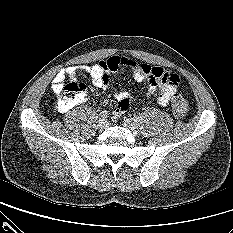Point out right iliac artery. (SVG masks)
<instances>
[{
    "instance_id": "obj_1",
    "label": "right iliac artery",
    "mask_w": 233,
    "mask_h": 233,
    "mask_svg": "<svg viewBox=\"0 0 233 233\" xmlns=\"http://www.w3.org/2000/svg\"><path fill=\"white\" fill-rule=\"evenodd\" d=\"M108 116V112L106 110H103L101 113H100V119H105L107 118Z\"/></svg>"
}]
</instances>
